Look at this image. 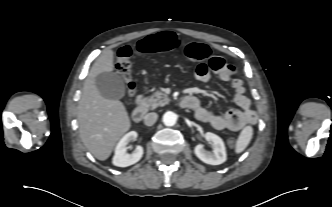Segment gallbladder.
Returning <instances> with one entry per match:
<instances>
[{"instance_id": "gallbladder-1", "label": "gallbladder", "mask_w": 332, "mask_h": 207, "mask_svg": "<svg viewBox=\"0 0 332 207\" xmlns=\"http://www.w3.org/2000/svg\"><path fill=\"white\" fill-rule=\"evenodd\" d=\"M95 83L99 93L107 99H121L125 96V85L119 75L103 72L96 76Z\"/></svg>"}]
</instances>
